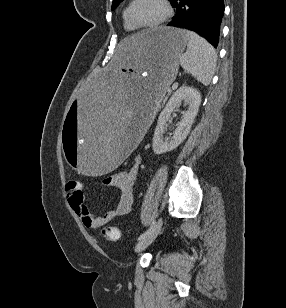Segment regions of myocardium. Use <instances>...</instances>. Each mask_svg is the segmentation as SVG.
Masks as SVG:
<instances>
[{
	"label": "myocardium",
	"mask_w": 286,
	"mask_h": 308,
	"mask_svg": "<svg viewBox=\"0 0 286 308\" xmlns=\"http://www.w3.org/2000/svg\"><path fill=\"white\" fill-rule=\"evenodd\" d=\"M159 1L164 10L162 17L154 23L140 25V24H137L132 18V8L134 4L137 2V0H131L126 10V18L129 24L135 29H154V28H157L163 25L170 17L172 10H171V6L168 0H159Z\"/></svg>",
	"instance_id": "myocardium-1"
}]
</instances>
